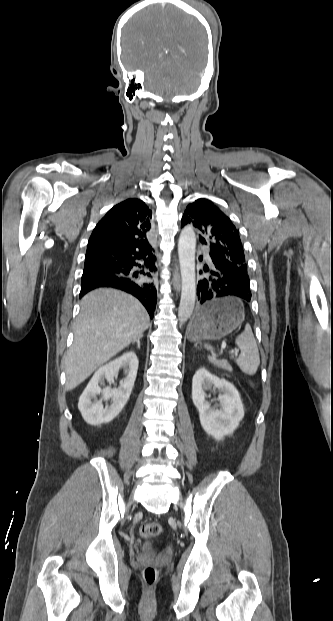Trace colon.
Wrapping results in <instances>:
<instances>
[{
  "label": "colon",
  "instance_id": "colon-1",
  "mask_svg": "<svg viewBox=\"0 0 333 621\" xmlns=\"http://www.w3.org/2000/svg\"><path fill=\"white\" fill-rule=\"evenodd\" d=\"M163 532V527L159 523H146L143 524L140 528L141 536L148 537H156ZM143 579L148 590L154 585L157 579V570L154 567H146L143 571Z\"/></svg>",
  "mask_w": 333,
  "mask_h": 621
}]
</instances>
